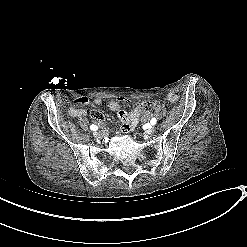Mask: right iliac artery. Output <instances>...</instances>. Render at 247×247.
<instances>
[{
	"label": "right iliac artery",
	"mask_w": 247,
	"mask_h": 247,
	"mask_svg": "<svg viewBox=\"0 0 247 247\" xmlns=\"http://www.w3.org/2000/svg\"><path fill=\"white\" fill-rule=\"evenodd\" d=\"M90 129L93 130V131H96L98 129V127L93 124V125L90 126Z\"/></svg>",
	"instance_id": "right-iliac-artery-1"
}]
</instances>
